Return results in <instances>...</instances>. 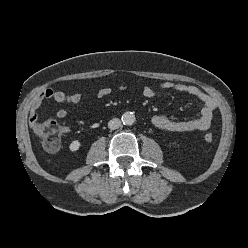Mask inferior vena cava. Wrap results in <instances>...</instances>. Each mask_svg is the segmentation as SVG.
Masks as SVG:
<instances>
[{
	"mask_svg": "<svg viewBox=\"0 0 248 248\" xmlns=\"http://www.w3.org/2000/svg\"><path fill=\"white\" fill-rule=\"evenodd\" d=\"M121 126V121L118 118H114L108 122V128L111 130L118 129Z\"/></svg>",
	"mask_w": 248,
	"mask_h": 248,
	"instance_id": "1",
	"label": "inferior vena cava"
}]
</instances>
